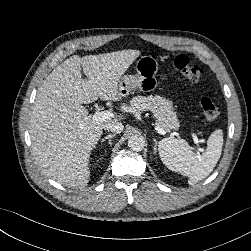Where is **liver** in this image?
Wrapping results in <instances>:
<instances>
[{
  "label": "liver",
  "mask_w": 251,
  "mask_h": 251,
  "mask_svg": "<svg viewBox=\"0 0 251 251\" xmlns=\"http://www.w3.org/2000/svg\"><path fill=\"white\" fill-rule=\"evenodd\" d=\"M140 55L122 50L80 58L57 66L38 89L30 119L32 151L43 172L57 182L79 187L89 182V158L106 123L95 121L83 104L123 97L119 82ZM81 66L87 79L82 78Z\"/></svg>",
  "instance_id": "obj_1"
}]
</instances>
